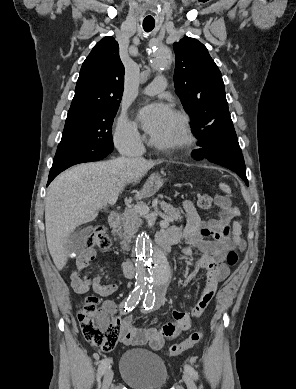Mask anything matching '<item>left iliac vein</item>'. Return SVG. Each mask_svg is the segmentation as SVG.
Masks as SVG:
<instances>
[{
  "label": "left iliac vein",
  "mask_w": 296,
  "mask_h": 389,
  "mask_svg": "<svg viewBox=\"0 0 296 389\" xmlns=\"http://www.w3.org/2000/svg\"><path fill=\"white\" fill-rule=\"evenodd\" d=\"M183 380H184L185 384L187 385L188 389H197L196 384H195L192 376L187 371H185L183 374Z\"/></svg>",
  "instance_id": "left-iliac-vein-1"
}]
</instances>
